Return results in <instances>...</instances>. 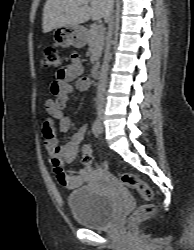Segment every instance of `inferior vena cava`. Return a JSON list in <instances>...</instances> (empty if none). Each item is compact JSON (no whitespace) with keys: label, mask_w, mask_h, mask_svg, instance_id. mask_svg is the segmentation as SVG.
<instances>
[{"label":"inferior vena cava","mask_w":194,"mask_h":250,"mask_svg":"<svg viewBox=\"0 0 194 250\" xmlns=\"http://www.w3.org/2000/svg\"><path fill=\"white\" fill-rule=\"evenodd\" d=\"M113 7L111 8L110 15L106 22L108 23V33L106 37V45H105V53L103 64L101 67L99 84H98V91H97V116L98 119L101 120L104 114V107H105V92H106V85H107V73L109 68V60L111 57L110 54V47H111V40L113 36L114 30V16H113Z\"/></svg>","instance_id":"1"}]
</instances>
